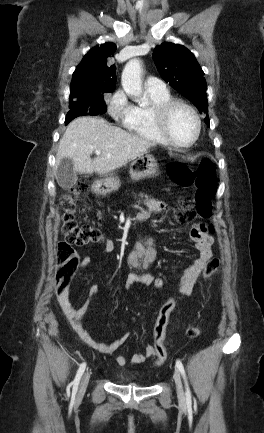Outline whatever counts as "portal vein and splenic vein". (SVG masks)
<instances>
[{
	"label": "portal vein and splenic vein",
	"mask_w": 264,
	"mask_h": 433,
	"mask_svg": "<svg viewBox=\"0 0 264 433\" xmlns=\"http://www.w3.org/2000/svg\"><path fill=\"white\" fill-rule=\"evenodd\" d=\"M95 153H96V155H100V154H101V151L98 150V149H96V150H95Z\"/></svg>",
	"instance_id": "1"
}]
</instances>
